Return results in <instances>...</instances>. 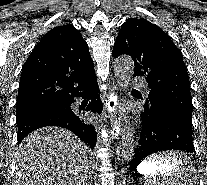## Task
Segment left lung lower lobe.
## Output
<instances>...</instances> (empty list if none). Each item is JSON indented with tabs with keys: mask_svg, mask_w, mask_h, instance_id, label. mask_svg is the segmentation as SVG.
Returning <instances> with one entry per match:
<instances>
[{
	"mask_svg": "<svg viewBox=\"0 0 207 185\" xmlns=\"http://www.w3.org/2000/svg\"><path fill=\"white\" fill-rule=\"evenodd\" d=\"M142 98V97H137ZM143 128L131 169L148 155L165 150L194 152L192 124L169 108L144 107L141 114Z\"/></svg>",
	"mask_w": 207,
	"mask_h": 185,
	"instance_id": "0a47b994",
	"label": "left lung lower lobe"
}]
</instances>
